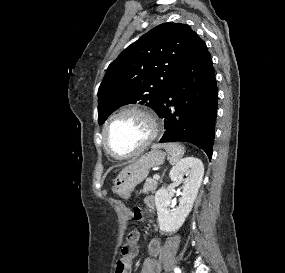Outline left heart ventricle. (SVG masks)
<instances>
[{"label":"left heart ventricle","instance_id":"b2bd125f","mask_svg":"<svg viewBox=\"0 0 285 273\" xmlns=\"http://www.w3.org/2000/svg\"><path fill=\"white\" fill-rule=\"evenodd\" d=\"M147 121L133 113L116 118L109 126L107 143L118 154H127L135 150L149 135Z\"/></svg>","mask_w":285,"mask_h":273}]
</instances>
